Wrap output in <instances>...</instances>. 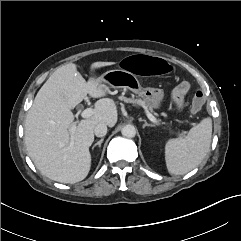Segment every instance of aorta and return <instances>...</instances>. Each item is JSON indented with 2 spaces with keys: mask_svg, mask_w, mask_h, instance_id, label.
I'll return each mask as SVG.
<instances>
[{
  "mask_svg": "<svg viewBox=\"0 0 241 241\" xmlns=\"http://www.w3.org/2000/svg\"><path fill=\"white\" fill-rule=\"evenodd\" d=\"M121 133L127 138H133L136 135V128L133 125L128 124L122 128Z\"/></svg>",
  "mask_w": 241,
  "mask_h": 241,
  "instance_id": "1",
  "label": "aorta"
}]
</instances>
